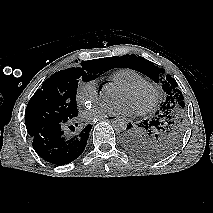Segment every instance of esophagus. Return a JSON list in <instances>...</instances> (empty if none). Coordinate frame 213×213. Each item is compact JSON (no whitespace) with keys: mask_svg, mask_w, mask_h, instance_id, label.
<instances>
[{"mask_svg":"<svg viewBox=\"0 0 213 213\" xmlns=\"http://www.w3.org/2000/svg\"><path fill=\"white\" fill-rule=\"evenodd\" d=\"M116 119H118L117 116H110V117H105V118H102V119H99V120H100V121H101V120L114 121V120H116Z\"/></svg>","mask_w":213,"mask_h":213,"instance_id":"esophagus-1","label":"esophagus"}]
</instances>
